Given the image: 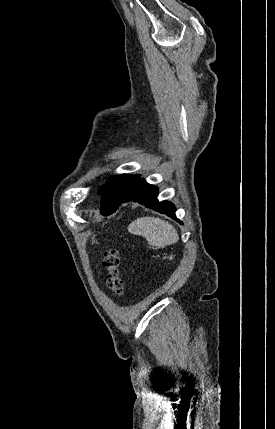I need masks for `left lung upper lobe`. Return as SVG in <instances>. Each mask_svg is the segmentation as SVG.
Returning <instances> with one entry per match:
<instances>
[{"label": "left lung upper lobe", "mask_w": 275, "mask_h": 429, "mask_svg": "<svg viewBox=\"0 0 275 429\" xmlns=\"http://www.w3.org/2000/svg\"><path fill=\"white\" fill-rule=\"evenodd\" d=\"M139 178V175L122 174L119 177L113 176L112 179L101 186L98 190V194L103 196L101 213L109 215L115 212L122 203L124 195Z\"/></svg>", "instance_id": "obj_1"}]
</instances>
